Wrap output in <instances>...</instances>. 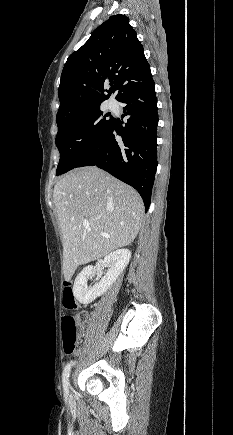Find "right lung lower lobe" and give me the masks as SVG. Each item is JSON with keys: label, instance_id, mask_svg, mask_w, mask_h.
<instances>
[{"label": "right lung lower lobe", "instance_id": "1", "mask_svg": "<svg viewBox=\"0 0 233 435\" xmlns=\"http://www.w3.org/2000/svg\"><path fill=\"white\" fill-rule=\"evenodd\" d=\"M125 103V126L114 119L106 135L76 166H97L135 188L145 211L151 202L157 169V98L151 73L130 85L118 99ZM122 137V143L115 139Z\"/></svg>", "mask_w": 233, "mask_h": 435}]
</instances>
